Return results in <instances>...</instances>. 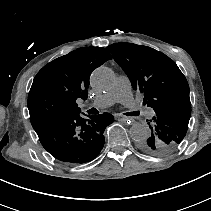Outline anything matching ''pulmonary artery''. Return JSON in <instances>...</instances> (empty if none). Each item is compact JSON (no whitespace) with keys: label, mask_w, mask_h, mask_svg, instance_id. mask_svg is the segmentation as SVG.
<instances>
[{"label":"pulmonary artery","mask_w":211,"mask_h":211,"mask_svg":"<svg viewBox=\"0 0 211 211\" xmlns=\"http://www.w3.org/2000/svg\"><path fill=\"white\" fill-rule=\"evenodd\" d=\"M128 85H130V81L127 76H118L109 92L98 96L91 104L83 105L82 107L105 109L119 101L121 106L130 108L134 106L136 97ZM142 114L145 119L152 121L156 118L157 111L154 106L148 105L143 108Z\"/></svg>","instance_id":"obj_1"}]
</instances>
